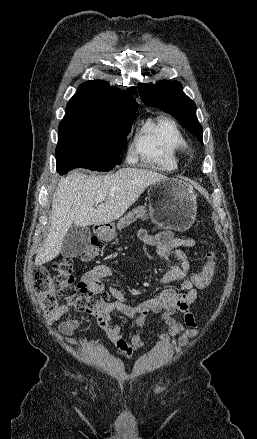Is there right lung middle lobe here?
I'll list each match as a JSON object with an SVG mask.
<instances>
[{
  "label": "right lung middle lobe",
  "mask_w": 257,
  "mask_h": 439,
  "mask_svg": "<svg viewBox=\"0 0 257 439\" xmlns=\"http://www.w3.org/2000/svg\"><path fill=\"white\" fill-rule=\"evenodd\" d=\"M135 120V113L121 118L93 115L64 116L58 130L57 172L74 168L109 171L120 155Z\"/></svg>",
  "instance_id": "dd1d6c3e"
}]
</instances>
